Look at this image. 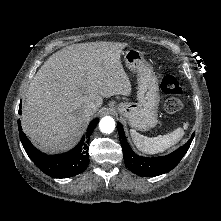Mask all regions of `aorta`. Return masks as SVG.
Listing matches in <instances>:
<instances>
[{"mask_svg": "<svg viewBox=\"0 0 221 221\" xmlns=\"http://www.w3.org/2000/svg\"><path fill=\"white\" fill-rule=\"evenodd\" d=\"M99 128L102 133L110 134L114 131L115 121L111 116H105L100 120Z\"/></svg>", "mask_w": 221, "mask_h": 221, "instance_id": "1", "label": "aorta"}]
</instances>
